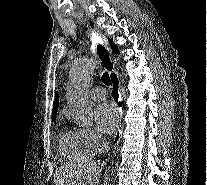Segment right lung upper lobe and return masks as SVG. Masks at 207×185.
Segmentation results:
<instances>
[{
  "mask_svg": "<svg viewBox=\"0 0 207 185\" xmlns=\"http://www.w3.org/2000/svg\"><path fill=\"white\" fill-rule=\"evenodd\" d=\"M58 105H59V97H58V93H56L55 102H54V106H53L52 121H54L56 118V112L58 109Z\"/></svg>",
  "mask_w": 207,
  "mask_h": 185,
  "instance_id": "1",
  "label": "right lung upper lobe"
}]
</instances>
